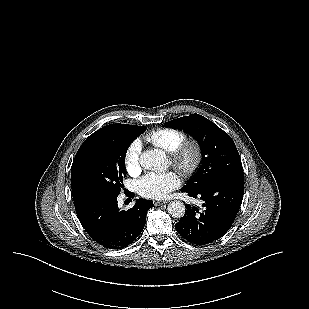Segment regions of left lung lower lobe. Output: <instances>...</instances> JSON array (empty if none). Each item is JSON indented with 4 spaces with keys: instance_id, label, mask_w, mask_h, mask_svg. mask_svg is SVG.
Segmentation results:
<instances>
[{
    "instance_id": "left-lung-lower-lobe-1",
    "label": "left lung lower lobe",
    "mask_w": 309,
    "mask_h": 309,
    "mask_svg": "<svg viewBox=\"0 0 309 309\" xmlns=\"http://www.w3.org/2000/svg\"><path fill=\"white\" fill-rule=\"evenodd\" d=\"M181 190L200 198L203 210L187 205L175 229L188 242L206 245L223 237L232 226L243 199L244 176H228L199 189Z\"/></svg>"
}]
</instances>
